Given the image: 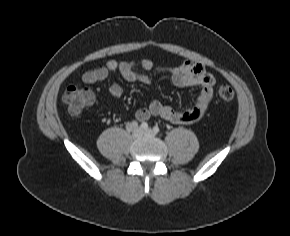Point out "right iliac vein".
<instances>
[{
    "mask_svg": "<svg viewBox=\"0 0 290 236\" xmlns=\"http://www.w3.org/2000/svg\"><path fill=\"white\" fill-rule=\"evenodd\" d=\"M144 134L143 130L141 128H136L134 131H133V137L134 138H140L142 137Z\"/></svg>",
    "mask_w": 290,
    "mask_h": 236,
    "instance_id": "obj_1",
    "label": "right iliac vein"
}]
</instances>
